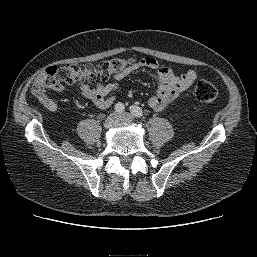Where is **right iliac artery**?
Listing matches in <instances>:
<instances>
[{
	"mask_svg": "<svg viewBox=\"0 0 257 257\" xmlns=\"http://www.w3.org/2000/svg\"><path fill=\"white\" fill-rule=\"evenodd\" d=\"M124 109H125V107H124V105H123L122 103H117V104L115 105V110H116L117 112H119V113L123 112Z\"/></svg>",
	"mask_w": 257,
	"mask_h": 257,
	"instance_id": "right-iliac-artery-1",
	"label": "right iliac artery"
}]
</instances>
